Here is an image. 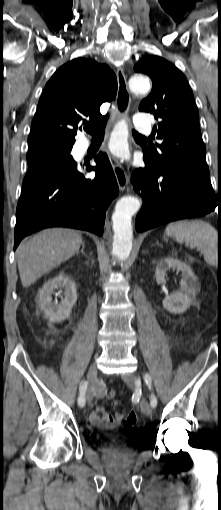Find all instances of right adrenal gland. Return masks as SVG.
Returning a JSON list of instances; mask_svg holds the SVG:
<instances>
[{
    "label": "right adrenal gland",
    "mask_w": 221,
    "mask_h": 510,
    "mask_svg": "<svg viewBox=\"0 0 221 510\" xmlns=\"http://www.w3.org/2000/svg\"><path fill=\"white\" fill-rule=\"evenodd\" d=\"M84 248H85L84 243H82V248L80 250V253H82L83 255H86V253L84 252ZM78 254H79V252H77V255Z\"/></svg>",
    "instance_id": "right-adrenal-gland-1"
}]
</instances>
